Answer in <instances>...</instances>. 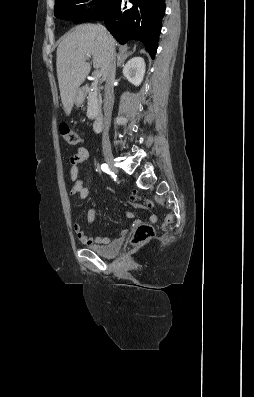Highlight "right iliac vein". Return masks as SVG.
Wrapping results in <instances>:
<instances>
[{"mask_svg":"<svg viewBox=\"0 0 254 397\" xmlns=\"http://www.w3.org/2000/svg\"><path fill=\"white\" fill-rule=\"evenodd\" d=\"M104 158H105L106 163L109 165V167H110L114 172L117 173V172H118V169L116 168L113 155H112L111 153H105V154H104Z\"/></svg>","mask_w":254,"mask_h":397,"instance_id":"63e3f726","label":"right iliac vein"}]
</instances>
